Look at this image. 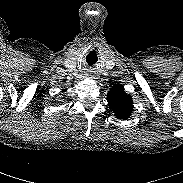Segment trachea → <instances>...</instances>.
I'll list each match as a JSON object with an SVG mask.
<instances>
[{"label":"trachea","mask_w":183,"mask_h":183,"mask_svg":"<svg viewBox=\"0 0 183 183\" xmlns=\"http://www.w3.org/2000/svg\"><path fill=\"white\" fill-rule=\"evenodd\" d=\"M87 58H88V60H87ZM87 58H86V61H87V63L89 65L95 64L97 62V60H98V57H97L96 53H91V52L89 53V55L87 56Z\"/></svg>","instance_id":"1"}]
</instances>
